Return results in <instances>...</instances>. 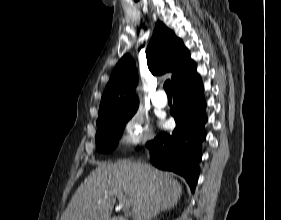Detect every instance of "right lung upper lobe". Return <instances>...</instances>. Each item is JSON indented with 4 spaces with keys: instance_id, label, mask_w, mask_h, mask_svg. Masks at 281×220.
<instances>
[{
    "instance_id": "obj_1",
    "label": "right lung upper lobe",
    "mask_w": 281,
    "mask_h": 220,
    "mask_svg": "<svg viewBox=\"0 0 281 220\" xmlns=\"http://www.w3.org/2000/svg\"><path fill=\"white\" fill-rule=\"evenodd\" d=\"M147 64L153 74L172 72V88L200 78L196 64L181 39L162 22L155 26L147 48ZM137 81L135 63L125 54L117 63L101 98L97 123L111 117L135 112L138 98L134 93Z\"/></svg>"
}]
</instances>
